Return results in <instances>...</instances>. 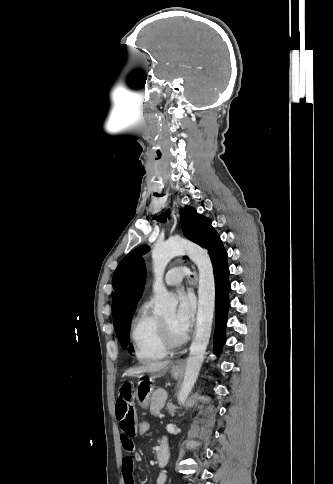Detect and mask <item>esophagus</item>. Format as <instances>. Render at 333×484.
Returning a JSON list of instances; mask_svg holds the SVG:
<instances>
[{
	"instance_id": "esophagus-1",
	"label": "esophagus",
	"mask_w": 333,
	"mask_h": 484,
	"mask_svg": "<svg viewBox=\"0 0 333 484\" xmlns=\"http://www.w3.org/2000/svg\"><path fill=\"white\" fill-rule=\"evenodd\" d=\"M183 364H184V360H183V359H179V360H177V361L175 362V366H176V367H180V366H182Z\"/></svg>"
}]
</instances>
